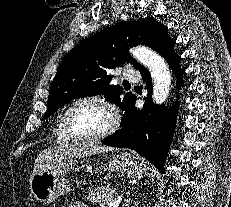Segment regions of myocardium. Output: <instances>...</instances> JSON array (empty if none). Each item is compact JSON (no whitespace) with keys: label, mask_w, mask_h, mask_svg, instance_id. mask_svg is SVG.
Wrapping results in <instances>:
<instances>
[{"label":"myocardium","mask_w":231,"mask_h":207,"mask_svg":"<svg viewBox=\"0 0 231 207\" xmlns=\"http://www.w3.org/2000/svg\"><path fill=\"white\" fill-rule=\"evenodd\" d=\"M85 102H92V103L99 104L103 108H105L110 114V117H111L110 125L108 126L107 129H105L99 134L91 135V136L81 135L77 133L75 129L73 128V125L70 119L71 113L76 106H78L81 103H85ZM63 122H64V127H65L67 134L73 140L79 141V142H85V143L101 141L111 136L112 134H114L120 126V118H119L118 112L116 108L114 107V105L109 100L99 95H86V96H83V97H80L74 100L64 111Z\"/></svg>","instance_id":"f54148a6"}]
</instances>
